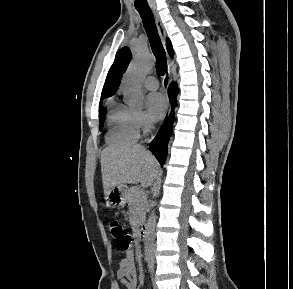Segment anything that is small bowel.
<instances>
[{
    "instance_id": "small-bowel-1",
    "label": "small bowel",
    "mask_w": 293,
    "mask_h": 289,
    "mask_svg": "<svg viewBox=\"0 0 293 289\" xmlns=\"http://www.w3.org/2000/svg\"><path fill=\"white\" fill-rule=\"evenodd\" d=\"M117 279L126 289H136V265L133 252H128L121 260L117 270ZM114 289H119V286L116 284Z\"/></svg>"
}]
</instances>
